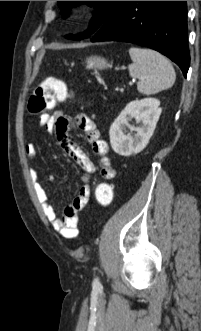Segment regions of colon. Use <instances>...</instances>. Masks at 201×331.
I'll return each mask as SVG.
<instances>
[{
  "instance_id": "5ec220e1",
  "label": "colon",
  "mask_w": 201,
  "mask_h": 331,
  "mask_svg": "<svg viewBox=\"0 0 201 331\" xmlns=\"http://www.w3.org/2000/svg\"><path fill=\"white\" fill-rule=\"evenodd\" d=\"M70 95L66 84L56 78H47L33 91L28 108L31 113L40 114L65 101ZM95 199L101 208H107L113 201V188L107 182L97 184Z\"/></svg>"
}]
</instances>
